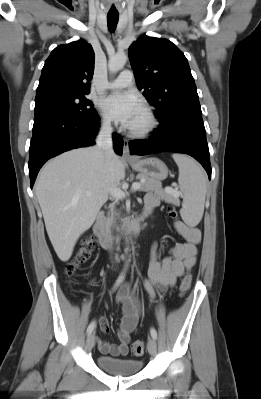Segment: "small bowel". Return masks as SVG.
Returning a JSON list of instances; mask_svg holds the SVG:
<instances>
[{"mask_svg":"<svg viewBox=\"0 0 261 399\" xmlns=\"http://www.w3.org/2000/svg\"><path fill=\"white\" fill-rule=\"evenodd\" d=\"M160 204L154 193L145 196V209L153 210ZM176 231L185 239L183 243H176L167 249L163 258L159 257V243H154L151 250V260L148 276L144 280V287L151 299L155 297V290H165L174 285L186 269H190L196 262L198 245L201 242V232L197 227L189 226L181 221L174 223ZM116 302L122 306L123 316L119 323L117 335L119 344L115 345L98 339V349L102 354L124 356L128 353L131 333L135 329L140 315L141 304L132 292L130 284H124L116 295ZM103 333L110 332V325L105 317L99 320Z\"/></svg>","mask_w":261,"mask_h":399,"instance_id":"small-bowel-1","label":"small bowel"}]
</instances>
